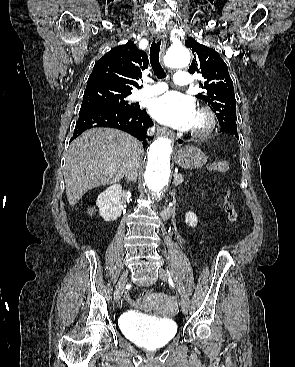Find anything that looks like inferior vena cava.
I'll use <instances>...</instances> for the list:
<instances>
[{
    "label": "inferior vena cava",
    "mask_w": 295,
    "mask_h": 367,
    "mask_svg": "<svg viewBox=\"0 0 295 367\" xmlns=\"http://www.w3.org/2000/svg\"><path fill=\"white\" fill-rule=\"evenodd\" d=\"M149 135H152L153 134V130H150L148 132ZM138 166L139 164L137 163H132L130 164L126 171H125V174H126V177H127V181H136V178H137V170H138Z\"/></svg>",
    "instance_id": "inferior-vena-cava-1"
}]
</instances>
